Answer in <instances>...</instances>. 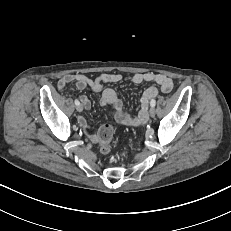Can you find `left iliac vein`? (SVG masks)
<instances>
[{
    "label": "left iliac vein",
    "mask_w": 231,
    "mask_h": 231,
    "mask_svg": "<svg viewBox=\"0 0 231 231\" xmlns=\"http://www.w3.org/2000/svg\"><path fill=\"white\" fill-rule=\"evenodd\" d=\"M149 114H150L151 117H154L155 116V109L151 108L150 111H149Z\"/></svg>",
    "instance_id": "left-iliac-vein-1"
}]
</instances>
